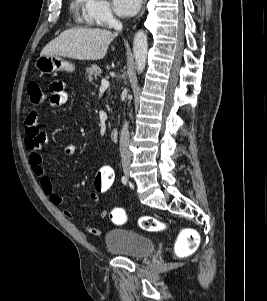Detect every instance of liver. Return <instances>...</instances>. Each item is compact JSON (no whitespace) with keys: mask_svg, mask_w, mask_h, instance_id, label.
<instances>
[{"mask_svg":"<svg viewBox=\"0 0 267 301\" xmlns=\"http://www.w3.org/2000/svg\"><path fill=\"white\" fill-rule=\"evenodd\" d=\"M115 34L106 29L75 28L62 32L49 42L40 56H60L77 60H99L105 57Z\"/></svg>","mask_w":267,"mask_h":301,"instance_id":"obj_1","label":"liver"}]
</instances>
